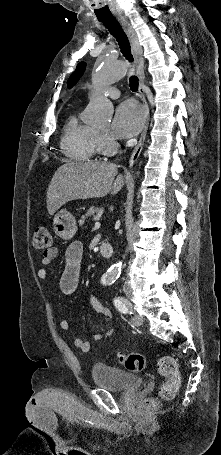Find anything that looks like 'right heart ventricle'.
<instances>
[{
    "label": "right heart ventricle",
    "mask_w": 221,
    "mask_h": 455,
    "mask_svg": "<svg viewBox=\"0 0 221 455\" xmlns=\"http://www.w3.org/2000/svg\"><path fill=\"white\" fill-rule=\"evenodd\" d=\"M61 149L65 156L74 161L91 159L97 152L96 129L82 123L76 113H72L63 128Z\"/></svg>",
    "instance_id": "e07e8e85"
}]
</instances>
